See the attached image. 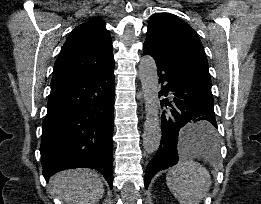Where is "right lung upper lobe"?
<instances>
[{
	"instance_id": "obj_1",
	"label": "right lung upper lobe",
	"mask_w": 261,
	"mask_h": 204,
	"mask_svg": "<svg viewBox=\"0 0 261 204\" xmlns=\"http://www.w3.org/2000/svg\"><path fill=\"white\" fill-rule=\"evenodd\" d=\"M114 64L112 41L105 22L94 18L68 36L54 64L51 84L97 73Z\"/></svg>"
}]
</instances>
